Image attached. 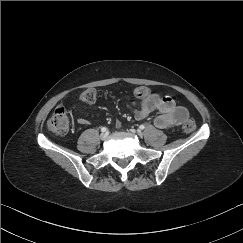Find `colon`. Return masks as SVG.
<instances>
[{"label":"colon","mask_w":243,"mask_h":243,"mask_svg":"<svg viewBox=\"0 0 243 243\" xmlns=\"http://www.w3.org/2000/svg\"><path fill=\"white\" fill-rule=\"evenodd\" d=\"M138 98L143 97L146 94L145 87H138L134 91ZM95 91L92 88L84 90L80 94V99L84 103H93L95 101ZM47 128L50 132L62 136L68 132L69 129V117L68 112L64 107H57L50 118L47 121ZM195 129L194 120H187L183 125V130L187 133L192 132Z\"/></svg>","instance_id":"1"}]
</instances>
